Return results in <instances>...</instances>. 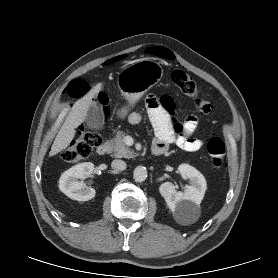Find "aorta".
<instances>
[{
    "mask_svg": "<svg viewBox=\"0 0 278 278\" xmlns=\"http://www.w3.org/2000/svg\"><path fill=\"white\" fill-rule=\"evenodd\" d=\"M133 178L136 182H143L147 178V169L144 166H137L133 171Z\"/></svg>",
    "mask_w": 278,
    "mask_h": 278,
    "instance_id": "1",
    "label": "aorta"
}]
</instances>
